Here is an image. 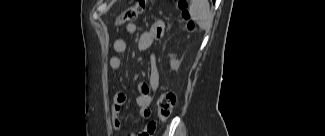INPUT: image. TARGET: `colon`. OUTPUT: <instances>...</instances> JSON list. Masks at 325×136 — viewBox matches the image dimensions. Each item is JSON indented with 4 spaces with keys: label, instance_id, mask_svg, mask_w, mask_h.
<instances>
[{
    "label": "colon",
    "instance_id": "obj_1",
    "mask_svg": "<svg viewBox=\"0 0 325 136\" xmlns=\"http://www.w3.org/2000/svg\"><path fill=\"white\" fill-rule=\"evenodd\" d=\"M145 5V0H138L135 4L125 9L118 19L119 25L131 23L136 20L144 11ZM178 7L182 12L183 19L187 22V27L191 29L193 27V23L189 21L186 0H179ZM175 102L176 97L172 92H164L161 94L157 102V114L161 121H165L171 116Z\"/></svg>",
    "mask_w": 325,
    "mask_h": 136
}]
</instances>
